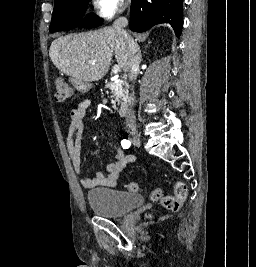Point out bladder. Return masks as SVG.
I'll list each match as a JSON object with an SVG mask.
<instances>
[{
  "label": "bladder",
  "instance_id": "31cf9c89",
  "mask_svg": "<svg viewBox=\"0 0 256 267\" xmlns=\"http://www.w3.org/2000/svg\"><path fill=\"white\" fill-rule=\"evenodd\" d=\"M86 201L98 216L122 217L143 204L142 195H127L114 189H95L87 193Z\"/></svg>",
  "mask_w": 256,
  "mask_h": 267
}]
</instances>
